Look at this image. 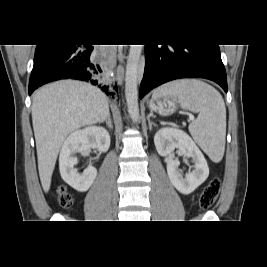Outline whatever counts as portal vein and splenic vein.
Returning a JSON list of instances; mask_svg holds the SVG:
<instances>
[{"instance_id": "18ae733b", "label": "portal vein and splenic vein", "mask_w": 267, "mask_h": 267, "mask_svg": "<svg viewBox=\"0 0 267 267\" xmlns=\"http://www.w3.org/2000/svg\"><path fill=\"white\" fill-rule=\"evenodd\" d=\"M190 119H191V120H194V116H193V115H190Z\"/></svg>"}]
</instances>
